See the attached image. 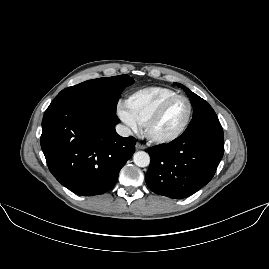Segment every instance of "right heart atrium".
Here are the masks:
<instances>
[{
	"mask_svg": "<svg viewBox=\"0 0 269 269\" xmlns=\"http://www.w3.org/2000/svg\"><path fill=\"white\" fill-rule=\"evenodd\" d=\"M118 115L120 119L127 125V127L132 131H138L139 125L134 120V118L130 115L128 110L125 109L124 104L122 102L118 103L117 107Z\"/></svg>",
	"mask_w": 269,
	"mask_h": 269,
	"instance_id": "obj_1",
	"label": "right heart atrium"
}]
</instances>
